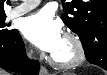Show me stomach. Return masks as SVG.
<instances>
[{
    "label": "stomach",
    "instance_id": "0dacf381",
    "mask_svg": "<svg viewBox=\"0 0 107 75\" xmlns=\"http://www.w3.org/2000/svg\"><path fill=\"white\" fill-rule=\"evenodd\" d=\"M64 75H76V74H74V73H68V74H64Z\"/></svg>",
    "mask_w": 107,
    "mask_h": 75
}]
</instances>
